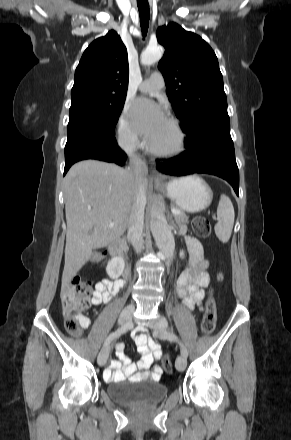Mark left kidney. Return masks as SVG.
<instances>
[{"label": "left kidney", "mask_w": 291, "mask_h": 440, "mask_svg": "<svg viewBox=\"0 0 291 440\" xmlns=\"http://www.w3.org/2000/svg\"><path fill=\"white\" fill-rule=\"evenodd\" d=\"M180 257H184V252L183 251L180 252Z\"/></svg>", "instance_id": "5707ae66"}]
</instances>
